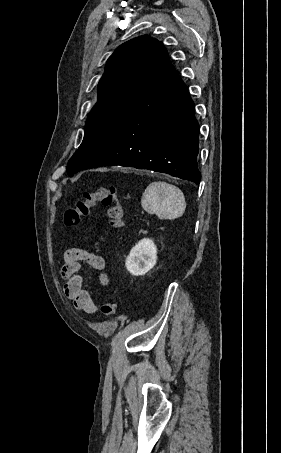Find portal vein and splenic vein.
Here are the masks:
<instances>
[{"label":"portal vein and splenic vein","instance_id":"portal-vein-and-splenic-vein-1","mask_svg":"<svg viewBox=\"0 0 281 453\" xmlns=\"http://www.w3.org/2000/svg\"><path fill=\"white\" fill-rule=\"evenodd\" d=\"M144 212H145V211H144V210H142V211L140 212V215H143V214H144Z\"/></svg>","mask_w":281,"mask_h":453}]
</instances>
